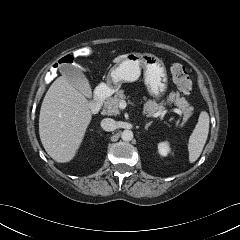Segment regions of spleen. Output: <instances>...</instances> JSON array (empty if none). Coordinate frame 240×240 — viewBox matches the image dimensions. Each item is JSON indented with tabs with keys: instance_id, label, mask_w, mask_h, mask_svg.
<instances>
[{
	"instance_id": "spleen-1",
	"label": "spleen",
	"mask_w": 240,
	"mask_h": 240,
	"mask_svg": "<svg viewBox=\"0 0 240 240\" xmlns=\"http://www.w3.org/2000/svg\"><path fill=\"white\" fill-rule=\"evenodd\" d=\"M209 133V115L202 111L188 142L189 161L194 163L202 153Z\"/></svg>"
}]
</instances>
